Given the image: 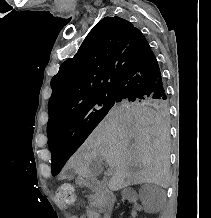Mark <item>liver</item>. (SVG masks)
I'll use <instances>...</instances> for the list:
<instances>
[{"instance_id": "liver-1", "label": "liver", "mask_w": 211, "mask_h": 218, "mask_svg": "<svg viewBox=\"0 0 211 218\" xmlns=\"http://www.w3.org/2000/svg\"><path fill=\"white\" fill-rule=\"evenodd\" d=\"M115 168L114 188L134 184L169 186V132L163 116L149 108L115 106L70 158L66 168L81 178L91 160Z\"/></svg>"}]
</instances>
